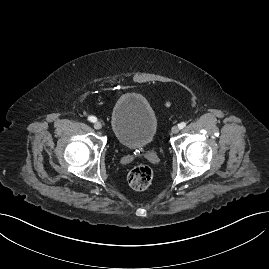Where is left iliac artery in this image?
I'll return each mask as SVG.
<instances>
[{
    "mask_svg": "<svg viewBox=\"0 0 269 269\" xmlns=\"http://www.w3.org/2000/svg\"><path fill=\"white\" fill-rule=\"evenodd\" d=\"M186 126L185 122H181L180 124H178L179 129H183Z\"/></svg>",
    "mask_w": 269,
    "mask_h": 269,
    "instance_id": "left-iliac-artery-1",
    "label": "left iliac artery"
}]
</instances>
